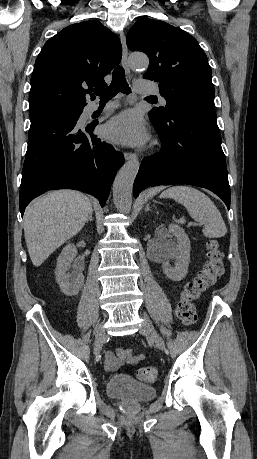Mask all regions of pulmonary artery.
Wrapping results in <instances>:
<instances>
[{"mask_svg": "<svg viewBox=\"0 0 257 459\" xmlns=\"http://www.w3.org/2000/svg\"><path fill=\"white\" fill-rule=\"evenodd\" d=\"M146 83L147 82L143 81V80L136 81V83H135L136 86H137L136 91L138 93H141V94H155V93H157V90L155 88H153V87H149V86L148 87H142L141 86V84H146ZM160 102L162 104H166V100L164 99V97L160 96ZM115 106H117V103H110V104L106 105L104 109L105 110H109V109L114 108ZM97 109H98V105L95 104V103H92V104L89 105L88 112L91 113V112H93V111H95Z\"/></svg>", "mask_w": 257, "mask_h": 459, "instance_id": "obj_1", "label": "pulmonary artery"}]
</instances>
